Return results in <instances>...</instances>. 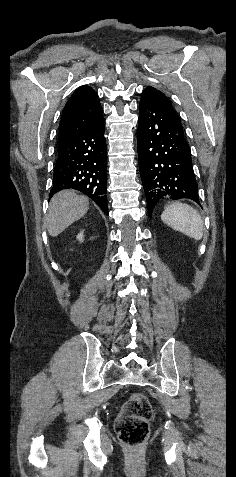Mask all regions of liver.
<instances>
[{"label": "liver", "instance_id": "liver-1", "mask_svg": "<svg viewBox=\"0 0 236 477\" xmlns=\"http://www.w3.org/2000/svg\"><path fill=\"white\" fill-rule=\"evenodd\" d=\"M89 209V201L85 196H79L74 191L64 190L56 193L48 208L47 230L55 237L68 226L82 218Z\"/></svg>", "mask_w": 236, "mask_h": 477}]
</instances>
